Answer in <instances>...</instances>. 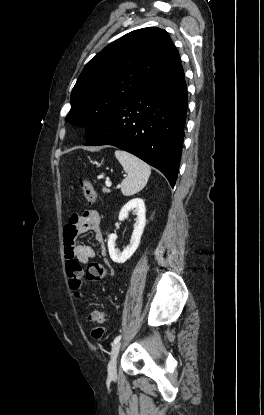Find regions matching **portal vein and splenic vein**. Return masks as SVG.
<instances>
[{
  "label": "portal vein and splenic vein",
  "mask_w": 264,
  "mask_h": 415,
  "mask_svg": "<svg viewBox=\"0 0 264 415\" xmlns=\"http://www.w3.org/2000/svg\"><path fill=\"white\" fill-rule=\"evenodd\" d=\"M105 184H106V186H107V187H111V186H112V183H111V181H109V180H106V181H105Z\"/></svg>",
  "instance_id": "1"
}]
</instances>
